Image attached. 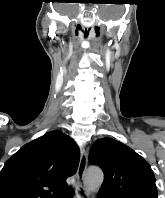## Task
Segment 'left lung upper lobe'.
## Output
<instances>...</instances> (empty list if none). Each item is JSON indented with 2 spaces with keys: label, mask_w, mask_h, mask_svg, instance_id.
<instances>
[{
  "label": "left lung upper lobe",
  "mask_w": 165,
  "mask_h": 198,
  "mask_svg": "<svg viewBox=\"0 0 165 198\" xmlns=\"http://www.w3.org/2000/svg\"><path fill=\"white\" fill-rule=\"evenodd\" d=\"M105 174L101 191L114 198H157L150 165L135 151L112 138L97 140L89 155Z\"/></svg>",
  "instance_id": "5c2ea615"
}]
</instances>
